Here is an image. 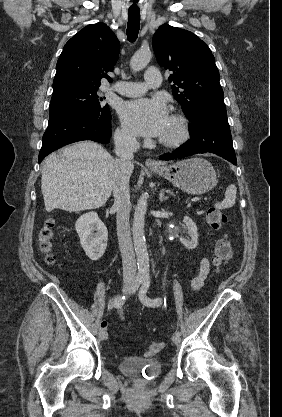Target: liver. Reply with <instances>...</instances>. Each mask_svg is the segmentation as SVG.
<instances>
[{
    "instance_id": "1",
    "label": "liver",
    "mask_w": 282,
    "mask_h": 417,
    "mask_svg": "<svg viewBox=\"0 0 282 417\" xmlns=\"http://www.w3.org/2000/svg\"><path fill=\"white\" fill-rule=\"evenodd\" d=\"M114 158L98 142L82 140L47 156L41 190L47 213L99 209L112 190Z\"/></svg>"
}]
</instances>
